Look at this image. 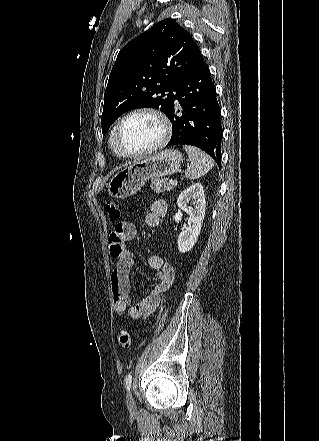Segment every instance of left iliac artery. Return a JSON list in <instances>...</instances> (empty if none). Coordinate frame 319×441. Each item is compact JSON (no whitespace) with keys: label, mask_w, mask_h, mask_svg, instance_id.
<instances>
[{"label":"left iliac artery","mask_w":319,"mask_h":441,"mask_svg":"<svg viewBox=\"0 0 319 441\" xmlns=\"http://www.w3.org/2000/svg\"><path fill=\"white\" fill-rule=\"evenodd\" d=\"M131 383H132V375H131V373H129L125 378V386H126L127 391H130Z\"/></svg>","instance_id":"left-iliac-artery-1"}]
</instances>
